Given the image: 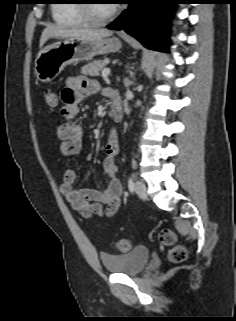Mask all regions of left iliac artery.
Returning a JSON list of instances; mask_svg holds the SVG:
<instances>
[{
    "mask_svg": "<svg viewBox=\"0 0 236 321\" xmlns=\"http://www.w3.org/2000/svg\"><path fill=\"white\" fill-rule=\"evenodd\" d=\"M128 188H129L130 192H132V193L135 191V185H134L133 179L131 177H129V179H128Z\"/></svg>",
    "mask_w": 236,
    "mask_h": 321,
    "instance_id": "44dca946",
    "label": "left iliac artery"
}]
</instances>
